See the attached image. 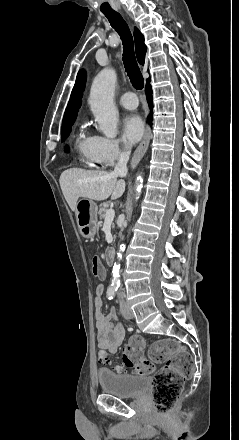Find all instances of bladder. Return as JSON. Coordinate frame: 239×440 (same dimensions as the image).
Listing matches in <instances>:
<instances>
[{
	"mask_svg": "<svg viewBox=\"0 0 239 440\" xmlns=\"http://www.w3.org/2000/svg\"><path fill=\"white\" fill-rule=\"evenodd\" d=\"M97 379L101 390L119 398H136L146 392L149 380L143 376L116 374L108 369H100Z\"/></svg>",
	"mask_w": 239,
	"mask_h": 440,
	"instance_id": "1",
	"label": "bladder"
}]
</instances>
